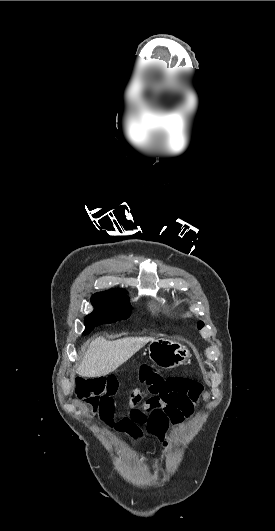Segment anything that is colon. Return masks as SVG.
<instances>
[{"label":"colon","mask_w":275,"mask_h":531,"mask_svg":"<svg viewBox=\"0 0 275 531\" xmlns=\"http://www.w3.org/2000/svg\"><path fill=\"white\" fill-rule=\"evenodd\" d=\"M105 380L100 375H93L89 379L82 378L76 384V397L81 402H88L93 409H100L99 396H102Z\"/></svg>","instance_id":"1"}]
</instances>
